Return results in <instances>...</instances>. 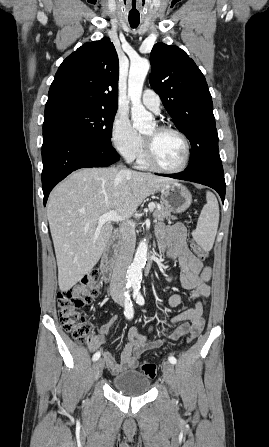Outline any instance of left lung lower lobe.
<instances>
[{"mask_svg":"<svg viewBox=\"0 0 269 447\" xmlns=\"http://www.w3.org/2000/svg\"><path fill=\"white\" fill-rule=\"evenodd\" d=\"M180 180L200 183L216 190L224 203L226 184L222 164L208 166L196 172H180L176 174H158Z\"/></svg>","mask_w":269,"mask_h":447,"instance_id":"1","label":"left lung lower lobe"}]
</instances>
